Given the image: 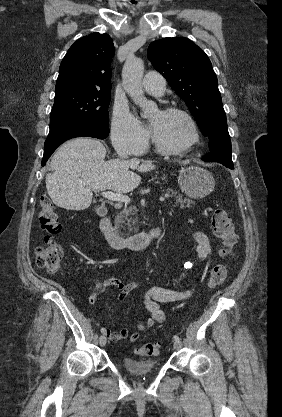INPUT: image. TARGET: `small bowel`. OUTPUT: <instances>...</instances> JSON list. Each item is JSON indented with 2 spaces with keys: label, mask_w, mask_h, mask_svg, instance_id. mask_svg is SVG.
Segmentation results:
<instances>
[{
  "label": "small bowel",
  "mask_w": 282,
  "mask_h": 417,
  "mask_svg": "<svg viewBox=\"0 0 282 417\" xmlns=\"http://www.w3.org/2000/svg\"><path fill=\"white\" fill-rule=\"evenodd\" d=\"M189 235L196 243V257L201 261L207 259L212 253L208 235L200 230H192L189 232ZM187 266H191V264L188 263ZM111 287H114L119 291L120 299L123 300L129 293L137 290L140 287V284L138 282H123L114 277L99 281L92 287L88 303L93 305L97 298ZM193 294V289L152 286L147 289L143 299L144 306L149 312L150 317L146 321L140 322L137 326V330L132 333H130L127 327H122L117 331L106 329L105 333L107 337L113 341H121L128 338L131 342H136L151 326L165 321L166 314L160 308V304L186 301L189 300Z\"/></svg>",
  "instance_id": "obj_1"
}]
</instances>
